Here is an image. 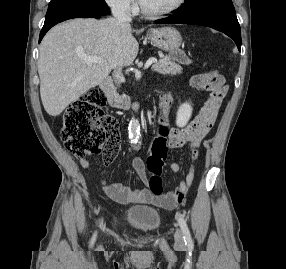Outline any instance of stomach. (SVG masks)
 Instances as JSON below:
<instances>
[{
  "label": "stomach",
  "mask_w": 286,
  "mask_h": 269,
  "mask_svg": "<svg viewBox=\"0 0 286 269\" xmlns=\"http://www.w3.org/2000/svg\"><path fill=\"white\" fill-rule=\"evenodd\" d=\"M149 39L153 45L164 51L179 49L182 42L180 33L173 27L152 29L149 33Z\"/></svg>",
  "instance_id": "obj_1"
}]
</instances>
